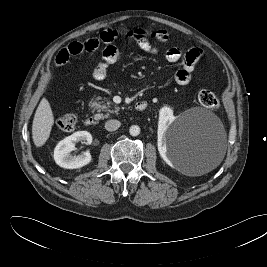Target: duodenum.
<instances>
[{"mask_svg": "<svg viewBox=\"0 0 267 267\" xmlns=\"http://www.w3.org/2000/svg\"><path fill=\"white\" fill-rule=\"evenodd\" d=\"M147 107V101L139 100L135 103V109L137 111H143ZM84 123L86 126H94L98 123V120L95 116H88L85 118Z\"/></svg>", "mask_w": 267, "mask_h": 267, "instance_id": "obj_1", "label": "duodenum"}]
</instances>
